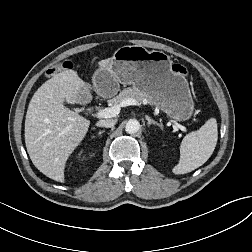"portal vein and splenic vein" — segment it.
Masks as SVG:
<instances>
[{"label": "portal vein and splenic vein", "mask_w": 252, "mask_h": 252, "mask_svg": "<svg viewBox=\"0 0 252 252\" xmlns=\"http://www.w3.org/2000/svg\"><path fill=\"white\" fill-rule=\"evenodd\" d=\"M138 102L134 99L128 98L125 99L121 102L120 105H114L112 107H108L102 110H99L98 112H96L95 116L97 118H111V117H115L119 114L120 112V108L121 107H125V106H129V105H137ZM176 126L182 130L183 132H187V128L179 123H175Z\"/></svg>", "instance_id": "18ae733b"}]
</instances>
